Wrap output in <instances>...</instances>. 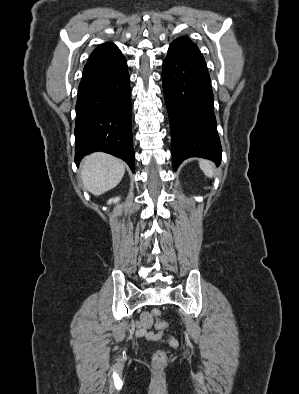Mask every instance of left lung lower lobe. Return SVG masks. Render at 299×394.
Here are the masks:
<instances>
[{"label": "left lung lower lobe", "mask_w": 299, "mask_h": 394, "mask_svg": "<svg viewBox=\"0 0 299 394\" xmlns=\"http://www.w3.org/2000/svg\"><path fill=\"white\" fill-rule=\"evenodd\" d=\"M163 91L171 131L173 168L189 157L221 161L214 97L199 49L170 46L163 62Z\"/></svg>", "instance_id": "left-lung-lower-lobe-1"}]
</instances>
